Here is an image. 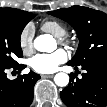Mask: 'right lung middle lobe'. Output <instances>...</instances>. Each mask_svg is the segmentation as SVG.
<instances>
[{
  "mask_svg": "<svg viewBox=\"0 0 107 107\" xmlns=\"http://www.w3.org/2000/svg\"><path fill=\"white\" fill-rule=\"evenodd\" d=\"M34 15H21L14 8H0V66L18 65L14 56L22 57L20 36L22 30Z\"/></svg>",
  "mask_w": 107,
  "mask_h": 107,
  "instance_id": "right-lung-middle-lobe-1",
  "label": "right lung middle lobe"
}]
</instances>
